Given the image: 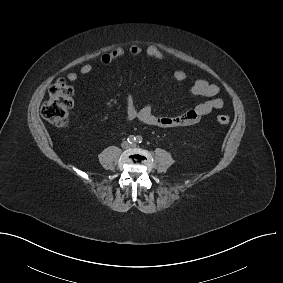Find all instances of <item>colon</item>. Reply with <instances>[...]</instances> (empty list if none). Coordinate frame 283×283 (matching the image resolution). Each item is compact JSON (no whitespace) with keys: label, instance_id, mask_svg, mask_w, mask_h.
<instances>
[{"label":"colon","instance_id":"1","mask_svg":"<svg viewBox=\"0 0 283 283\" xmlns=\"http://www.w3.org/2000/svg\"><path fill=\"white\" fill-rule=\"evenodd\" d=\"M73 107V88L64 80L57 81L49 90V98L43 104L42 116L59 128L67 126L70 111ZM217 122L227 125L230 117L227 114L217 115Z\"/></svg>","mask_w":283,"mask_h":283}]
</instances>
